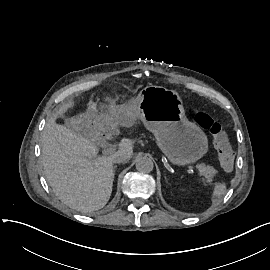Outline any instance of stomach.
Masks as SVG:
<instances>
[{
    "label": "stomach",
    "instance_id": "stomach-1",
    "mask_svg": "<svg viewBox=\"0 0 270 270\" xmlns=\"http://www.w3.org/2000/svg\"><path fill=\"white\" fill-rule=\"evenodd\" d=\"M118 113L139 116L173 165L184 167L194 164L209 151L206 133L188 120L175 91L161 86H146L134 101L119 106Z\"/></svg>",
    "mask_w": 270,
    "mask_h": 270
}]
</instances>
